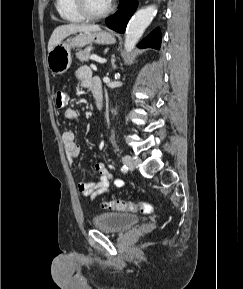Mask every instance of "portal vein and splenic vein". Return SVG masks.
Instances as JSON below:
<instances>
[{
  "instance_id": "1",
  "label": "portal vein and splenic vein",
  "mask_w": 243,
  "mask_h": 289,
  "mask_svg": "<svg viewBox=\"0 0 243 289\" xmlns=\"http://www.w3.org/2000/svg\"><path fill=\"white\" fill-rule=\"evenodd\" d=\"M90 59L102 64L106 62V59L99 58L96 55H91Z\"/></svg>"
}]
</instances>
